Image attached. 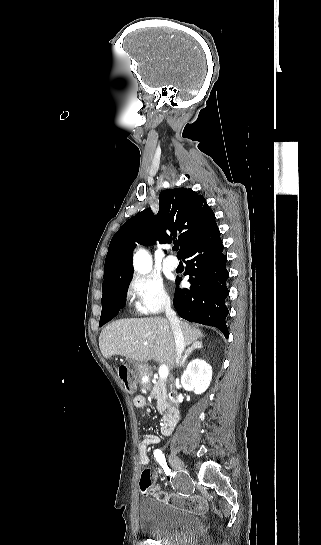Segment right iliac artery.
<instances>
[{"mask_svg":"<svg viewBox=\"0 0 321 545\" xmlns=\"http://www.w3.org/2000/svg\"><path fill=\"white\" fill-rule=\"evenodd\" d=\"M154 457L156 458L157 462L161 465L166 475L171 474L170 468L167 466L165 455L163 452L159 449H156L154 451Z\"/></svg>","mask_w":321,"mask_h":545,"instance_id":"1","label":"right iliac artery"}]
</instances>
